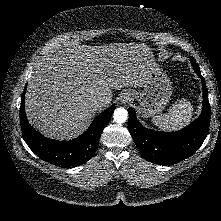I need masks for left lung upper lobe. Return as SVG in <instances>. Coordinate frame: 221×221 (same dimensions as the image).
<instances>
[{"instance_id": "left-lung-upper-lobe-1", "label": "left lung upper lobe", "mask_w": 221, "mask_h": 221, "mask_svg": "<svg viewBox=\"0 0 221 221\" xmlns=\"http://www.w3.org/2000/svg\"><path fill=\"white\" fill-rule=\"evenodd\" d=\"M190 60H191V63H192V65H193V67H194V70L199 69L197 63L195 62V60H194L192 57L190 58Z\"/></svg>"}]
</instances>
